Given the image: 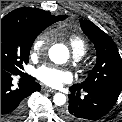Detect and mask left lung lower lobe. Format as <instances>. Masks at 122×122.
Segmentation results:
<instances>
[{"mask_svg":"<svg viewBox=\"0 0 122 122\" xmlns=\"http://www.w3.org/2000/svg\"><path fill=\"white\" fill-rule=\"evenodd\" d=\"M70 91L69 106L62 112V117L68 122H89L103 117L112 109L120 94L113 89L80 90L74 86L70 87ZM81 91L87 93L84 99L79 97Z\"/></svg>","mask_w":122,"mask_h":122,"instance_id":"1","label":"left lung lower lobe"}]
</instances>
